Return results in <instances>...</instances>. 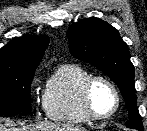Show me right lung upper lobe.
Wrapping results in <instances>:
<instances>
[{
	"instance_id": "cb5924a9",
	"label": "right lung upper lobe",
	"mask_w": 147,
	"mask_h": 131,
	"mask_svg": "<svg viewBox=\"0 0 147 131\" xmlns=\"http://www.w3.org/2000/svg\"><path fill=\"white\" fill-rule=\"evenodd\" d=\"M48 44L47 36L14 38L0 49V70H35Z\"/></svg>"
}]
</instances>
